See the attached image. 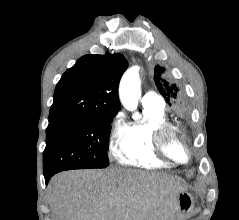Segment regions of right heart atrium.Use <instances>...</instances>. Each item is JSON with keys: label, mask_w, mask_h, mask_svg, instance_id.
I'll list each match as a JSON object with an SVG mask.
<instances>
[{"label": "right heart atrium", "mask_w": 239, "mask_h": 220, "mask_svg": "<svg viewBox=\"0 0 239 220\" xmlns=\"http://www.w3.org/2000/svg\"><path fill=\"white\" fill-rule=\"evenodd\" d=\"M128 127L129 125L121 112L112 117L108 132V149L111 154H116L117 148L128 133Z\"/></svg>", "instance_id": "1"}]
</instances>
